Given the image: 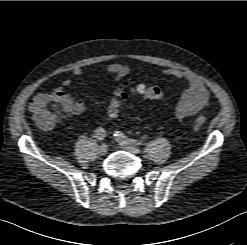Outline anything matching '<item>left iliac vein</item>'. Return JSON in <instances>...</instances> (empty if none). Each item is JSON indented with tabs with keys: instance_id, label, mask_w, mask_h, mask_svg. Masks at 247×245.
Wrapping results in <instances>:
<instances>
[{
	"instance_id": "left-iliac-vein-1",
	"label": "left iliac vein",
	"mask_w": 247,
	"mask_h": 245,
	"mask_svg": "<svg viewBox=\"0 0 247 245\" xmlns=\"http://www.w3.org/2000/svg\"><path fill=\"white\" fill-rule=\"evenodd\" d=\"M119 146L122 148V149H124V150H126V151H129V152H131V153H139V151H140V149L137 147V146H135V145H132V144H130V143H127V142H123V141H120L119 142Z\"/></svg>"
}]
</instances>
